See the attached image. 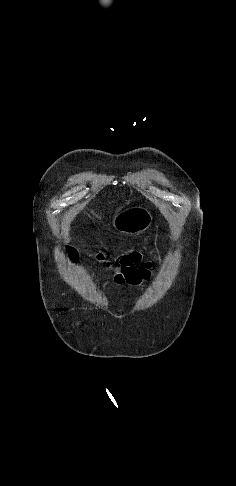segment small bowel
<instances>
[{"instance_id":"obj_1","label":"small bowel","mask_w":236,"mask_h":486,"mask_svg":"<svg viewBox=\"0 0 236 486\" xmlns=\"http://www.w3.org/2000/svg\"><path fill=\"white\" fill-rule=\"evenodd\" d=\"M150 267L149 263H141L138 254L125 256L121 261V268L114 276V282L133 286L140 285L143 281L150 279Z\"/></svg>"}]
</instances>
